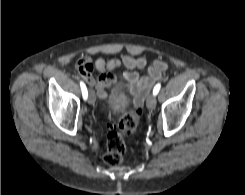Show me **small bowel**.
Returning a JSON list of instances; mask_svg holds the SVG:
<instances>
[{"instance_id": "1", "label": "small bowel", "mask_w": 245, "mask_h": 195, "mask_svg": "<svg viewBox=\"0 0 245 195\" xmlns=\"http://www.w3.org/2000/svg\"><path fill=\"white\" fill-rule=\"evenodd\" d=\"M122 65L128 69L121 75V79L125 83L124 87L129 90L134 102L138 105L142 104L152 85L160 80L162 72L167 69V63L155 59L148 67L146 75H140L138 70L144 69L148 65L145 57L125 56L121 60L116 58L93 60L86 56L77 61L76 71L89 86L95 87L100 98L105 99L108 97L106 89L117 81L111 71ZM94 70L97 71V75L93 74Z\"/></svg>"}]
</instances>
